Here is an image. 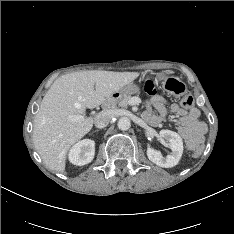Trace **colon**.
<instances>
[{
    "label": "colon",
    "mask_w": 234,
    "mask_h": 234,
    "mask_svg": "<svg viewBox=\"0 0 234 234\" xmlns=\"http://www.w3.org/2000/svg\"><path fill=\"white\" fill-rule=\"evenodd\" d=\"M164 88L169 93L177 96L180 100V103L183 107L189 108L193 105V97L187 93L185 85L174 79L168 78L164 83ZM145 91L150 95L156 94L155 84L152 81H148L145 84ZM192 154L194 157H198L202 152V147L200 145L191 147Z\"/></svg>",
    "instance_id": "5ec220e1"
}]
</instances>
